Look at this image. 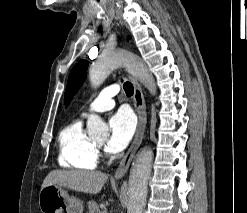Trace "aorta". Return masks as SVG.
<instances>
[{"mask_svg":"<svg viewBox=\"0 0 247 213\" xmlns=\"http://www.w3.org/2000/svg\"><path fill=\"white\" fill-rule=\"evenodd\" d=\"M118 67H126L129 73L137 77L152 95L156 93L153 76L149 73L143 61L135 54L122 49L106 51L92 64L89 70L91 85L98 87L105 81L111 71ZM87 129L90 136H96L107 132V125L98 115L91 114L87 120ZM152 161L153 151L149 147H144L137 154L130 170L127 213H143Z\"/></svg>","mask_w":247,"mask_h":213,"instance_id":"762f6f07","label":"aorta"}]
</instances>
